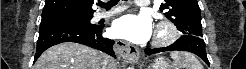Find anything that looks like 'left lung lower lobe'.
<instances>
[{"label":"left lung lower lobe","mask_w":246,"mask_h":69,"mask_svg":"<svg viewBox=\"0 0 246 69\" xmlns=\"http://www.w3.org/2000/svg\"><path fill=\"white\" fill-rule=\"evenodd\" d=\"M189 51L192 52L196 55H198L203 61L209 65V61L206 55V50H205V42L202 38L192 36V35H184L180 37L175 43L168 47H163V48H146L144 50V53L146 55H151L159 52H164V51Z\"/></svg>","instance_id":"0a47b994"}]
</instances>
